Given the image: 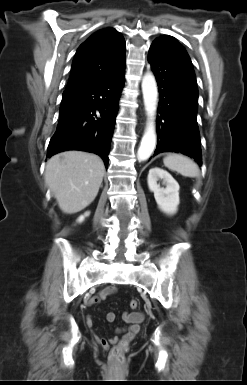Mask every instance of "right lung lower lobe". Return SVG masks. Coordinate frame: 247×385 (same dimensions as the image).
Listing matches in <instances>:
<instances>
[{"label": "right lung lower lobe", "mask_w": 247, "mask_h": 385, "mask_svg": "<svg viewBox=\"0 0 247 385\" xmlns=\"http://www.w3.org/2000/svg\"><path fill=\"white\" fill-rule=\"evenodd\" d=\"M125 66L117 73L63 96L57 130L47 157L83 150L98 154L108 166L110 142L125 80Z\"/></svg>", "instance_id": "obj_1"}]
</instances>
